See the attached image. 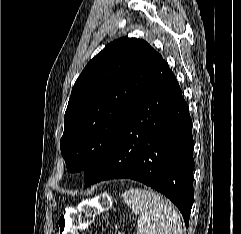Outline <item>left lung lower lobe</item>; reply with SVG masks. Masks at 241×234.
<instances>
[{
    "label": "left lung lower lobe",
    "instance_id": "left-lung-lower-lobe-1",
    "mask_svg": "<svg viewBox=\"0 0 241 234\" xmlns=\"http://www.w3.org/2000/svg\"><path fill=\"white\" fill-rule=\"evenodd\" d=\"M192 121L179 84L163 60L131 106L90 184L140 181L168 197L185 225L194 201Z\"/></svg>",
    "mask_w": 241,
    "mask_h": 234
}]
</instances>
